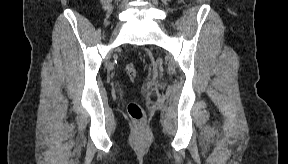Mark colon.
Listing matches in <instances>:
<instances>
[{
	"mask_svg": "<svg viewBox=\"0 0 288 164\" xmlns=\"http://www.w3.org/2000/svg\"><path fill=\"white\" fill-rule=\"evenodd\" d=\"M126 75L129 79L134 80L137 74L135 66L131 63H128L125 66ZM128 113L132 117V120H143V110L142 107L137 102H131L128 105Z\"/></svg>",
	"mask_w": 288,
	"mask_h": 164,
	"instance_id": "5ec220e1",
	"label": "colon"
}]
</instances>
